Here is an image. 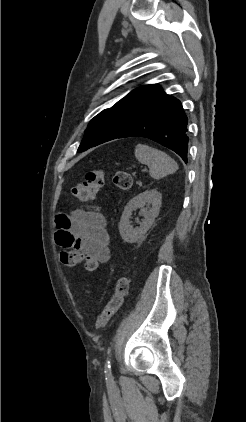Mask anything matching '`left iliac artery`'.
Here are the masks:
<instances>
[{"instance_id":"44dca946","label":"left iliac artery","mask_w":246,"mask_h":422,"mask_svg":"<svg viewBox=\"0 0 246 422\" xmlns=\"http://www.w3.org/2000/svg\"><path fill=\"white\" fill-rule=\"evenodd\" d=\"M105 376H106V380L108 382H112L113 381V376L111 373V359L107 358L106 363H105Z\"/></svg>"}]
</instances>
